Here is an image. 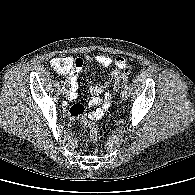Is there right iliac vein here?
<instances>
[{
	"instance_id": "63e3f726",
	"label": "right iliac vein",
	"mask_w": 195,
	"mask_h": 195,
	"mask_svg": "<svg viewBox=\"0 0 195 195\" xmlns=\"http://www.w3.org/2000/svg\"><path fill=\"white\" fill-rule=\"evenodd\" d=\"M61 94H62L64 97H66V96L68 95L67 89H66V88H62Z\"/></svg>"
}]
</instances>
